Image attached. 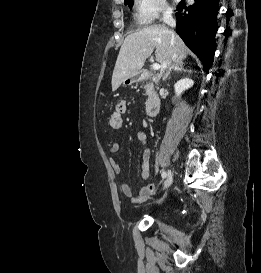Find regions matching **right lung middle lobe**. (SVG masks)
Wrapping results in <instances>:
<instances>
[{
	"mask_svg": "<svg viewBox=\"0 0 261 273\" xmlns=\"http://www.w3.org/2000/svg\"><path fill=\"white\" fill-rule=\"evenodd\" d=\"M125 4H126V5H129L130 8H131V6H132V4H133V0H126V1H125Z\"/></svg>",
	"mask_w": 261,
	"mask_h": 273,
	"instance_id": "1",
	"label": "right lung middle lobe"
}]
</instances>
